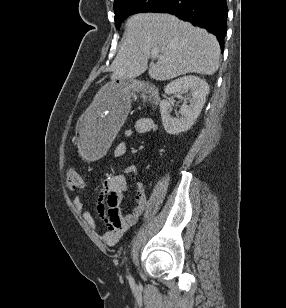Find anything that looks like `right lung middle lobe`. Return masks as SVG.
Listing matches in <instances>:
<instances>
[{"instance_id":"dd1d6c3e","label":"right lung middle lobe","mask_w":286,"mask_h":308,"mask_svg":"<svg viewBox=\"0 0 286 308\" xmlns=\"http://www.w3.org/2000/svg\"><path fill=\"white\" fill-rule=\"evenodd\" d=\"M168 0H120L114 4L115 23L119 28L121 22L129 15L140 12H152Z\"/></svg>"}]
</instances>
